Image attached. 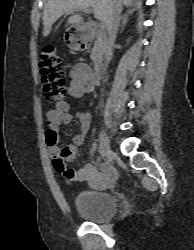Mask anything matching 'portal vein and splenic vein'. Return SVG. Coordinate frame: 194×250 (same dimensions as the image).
I'll return each instance as SVG.
<instances>
[{
    "label": "portal vein and splenic vein",
    "instance_id": "1",
    "mask_svg": "<svg viewBox=\"0 0 194 250\" xmlns=\"http://www.w3.org/2000/svg\"><path fill=\"white\" fill-rule=\"evenodd\" d=\"M83 11H84L85 13H87V14L92 13V10H91V9H84ZM65 13H66L67 15H69V14L74 13V10L66 11ZM96 19H98V21H99V26H100V28L103 29V28H104V23L101 21V19H100L99 17H96Z\"/></svg>",
    "mask_w": 194,
    "mask_h": 250
}]
</instances>
